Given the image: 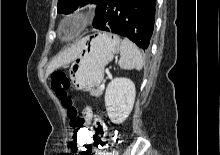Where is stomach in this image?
Returning <instances> with one entry per match:
<instances>
[{"instance_id": "obj_1", "label": "stomach", "mask_w": 220, "mask_h": 155, "mask_svg": "<svg viewBox=\"0 0 220 155\" xmlns=\"http://www.w3.org/2000/svg\"><path fill=\"white\" fill-rule=\"evenodd\" d=\"M83 40V48L71 64L69 76L77 90L92 94L103 80L105 66L119 51L120 38L104 32Z\"/></svg>"}]
</instances>
